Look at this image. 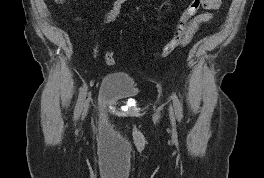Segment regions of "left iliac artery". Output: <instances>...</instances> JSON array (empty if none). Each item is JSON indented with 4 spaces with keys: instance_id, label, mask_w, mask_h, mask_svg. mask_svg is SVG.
<instances>
[{
    "instance_id": "1",
    "label": "left iliac artery",
    "mask_w": 264,
    "mask_h": 178,
    "mask_svg": "<svg viewBox=\"0 0 264 178\" xmlns=\"http://www.w3.org/2000/svg\"><path fill=\"white\" fill-rule=\"evenodd\" d=\"M172 99H173V105L175 108L176 116L180 120V119H182V116H183L180 101H179L178 97L176 96V94L172 95Z\"/></svg>"
}]
</instances>
